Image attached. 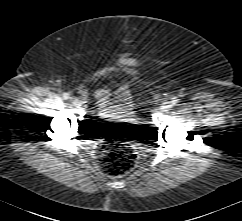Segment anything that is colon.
I'll return each mask as SVG.
<instances>
[{"mask_svg": "<svg viewBox=\"0 0 242 221\" xmlns=\"http://www.w3.org/2000/svg\"><path fill=\"white\" fill-rule=\"evenodd\" d=\"M96 163L107 175L118 177L128 173L135 167L137 153L126 142L110 140L98 147Z\"/></svg>", "mask_w": 242, "mask_h": 221, "instance_id": "obj_1", "label": "colon"}]
</instances>
